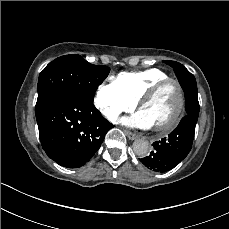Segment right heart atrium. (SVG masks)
Instances as JSON below:
<instances>
[{
  "instance_id": "obj_1",
  "label": "right heart atrium",
  "mask_w": 229,
  "mask_h": 229,
  "mask_svg": "<svg viewBox=\"0 0 229 229\" xmlns=\"http://www.w3.org/2000/svg\"><path fill=\"white\" fill-rule=\"evenodd\" d=\"M94 105L106 119L115 122L121 113L133 111L137 102L128 97L117 82L112 80L99 85Z\"/></svg>"
}]
</instances>
